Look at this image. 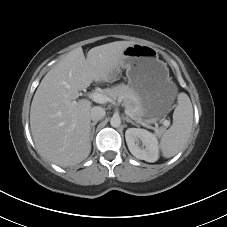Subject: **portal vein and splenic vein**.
Masks as SVG:
<instances>
[{"label":"portal vein and splenic vein","instance_id":"1","mask_svg":"<svg viewBox=\"0 0 227 227\" xmlns=\"http://www.w3.org/2000/svg\"><path fill=\"white\" fill-rule=\"evenodd\" d=\"M89 98L92 99L94 102H96V103H101V104L110 101V98H108L106 95H103V94L98 93V92H93V93H91V94L89 95ZM125 113H126L128 116H130L131 118L136 119V118L134 117V115L131 114L127 109L125 110ZM162 124H163L164 126L168 127V126L170 125V121H168V120H162ZM154 130H155L156 133L159 132V130H158L157 128H154Z\"/></svg>","mask_w":227,"mask_h":227}]
</instances>
